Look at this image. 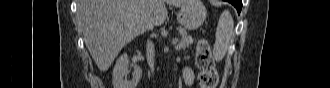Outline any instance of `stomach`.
Listing matches in <instances>:
<instances>
[{
	"label": "stomach",
	"mask_w": 330,
	"mask_h": 88,
	"mask_svg": "<svg viewBox=\"0 0 330 88\" xmlns=\"http://www.w3.org/2000/svg\"><path fill=\"white\" fill-rule=\"evenodd\" d=\"M207 11L200 0H190L177 13L178 22L187 30L198 29L206 20Z\"/></svg>",
	"instance_id": "stomach-1"
}]
</instances>
